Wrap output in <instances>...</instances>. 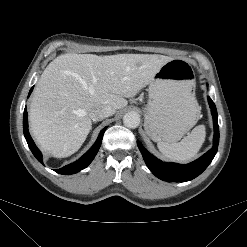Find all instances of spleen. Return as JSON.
I'll return each mask as SVG.
<instances>
[{
	"instance_id": "spleen-1",
	"label": "spleen",
	"mask_w": 247,
	"mask_h": 247,
	"mask_svg": "<svg viewBox=\"0 0 247 247\" xmlns=\"http://www.w3.org/2000/svg\"><path fill=\"white\" fill-rule=\"evenodd\" d=\"M192 103L195 109L199 110L195 98H192ZM205 137V126L199 125L178 143L158 142V149L167 159L177 162H188L197 156L205 141Z\"/></svg>"
}]
</instances>
